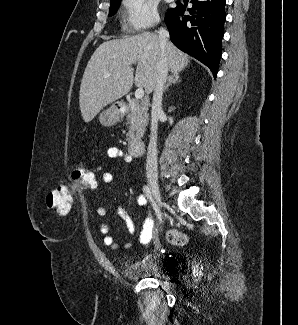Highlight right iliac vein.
<instances>
[{
	"mask_svg": "<svg viewBox=\"0 0 298 325\" xmlns=\"http://www.w3.org/2000/svg\"><path fill=\"white\" fill-rule=\"evenodd\" d=\"M149 187H150L153 199L155 200L157 205L159 207H161L162 206V197H161V194H160L158 182L154 177L149 178Z\"/></svg>",
	"mask_w": 298,
	"mask_h": 325,
	"instance_id": "obj_1",
	"label": "right iliac vein"
}]
</instances>
